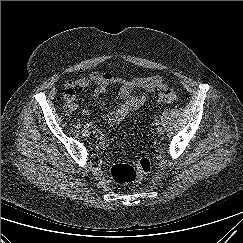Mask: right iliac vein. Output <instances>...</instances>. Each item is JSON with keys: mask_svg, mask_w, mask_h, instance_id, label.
<instances>
[{"mask_svg": "<svg viewBox=\"0 0 243 243\" xmlns=\"http://www.w3.org/2000/svg\"><path fill=\"white\" fill-rule=\"evenodd\" d=\"M82 135L86 138L90 137V131L88 129L82 130Z\"/></svg>", "mask_w": 243, "mask_h": 243, "instance_id": "1", "label": "right iliac vein"}]
</instances>
